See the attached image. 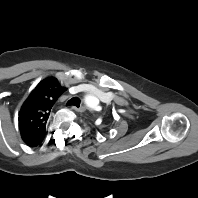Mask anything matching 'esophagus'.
<instances>
[{
	"label": "esophagus",
	"mask_w": 198,
	"mask_h": 198,
	"mask_svg": "<svg viewBox=\"0 0 198 198\" xmlns=\"http://www.w3.org/2000/svg\"><path fill=\"white\" fill-rule=\"evenodd\" d=\"M71 108L77 112H84L86 110L85 106H80V107L72 106Z\"/></svg>",
	"instance_id": "1"
}]
</instances>
